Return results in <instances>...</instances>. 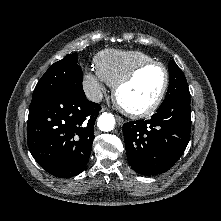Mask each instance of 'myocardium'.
Segmentation results:
<instances>
[{
	"label": "myocardium",
	"instance_id": "1",
	"mask_svg": "<svg viewBox=\"0 0 221 221\" xmlns=\"http://www.w3.org/2000/svg\"><path fill=\"white\" fill-rule=\"evenodd\" d=\"M153 66L160 67L164 73V82L157 97L149 106L143 109L134 110V109L127 108L125 105H123L120 102V99H119L120 90L126 85H128L129 83H131L142 70L149 68V67H153ZM169 82H170L169 72L163 63L155 61V60L143 62L135 66L130 72H128L122 79L118 81V83L114 86L113 98L116 104L125 114L133 118H143V117L153 114L159 108V106L161 105L167 93Z\"/></svg>",
	"mask_w": 221,
	"mask_h": 221
}]
</instances>
